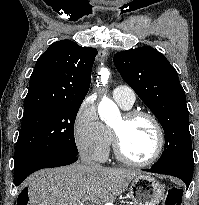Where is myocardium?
<instances>
[{"label":"myocardium","mask_w":199,"mask_h":205,"mask_svg":"<svg viewBox=\"0 0 199 205\" xmlns=\"http://www.w3.org/2000/svg\"><path fill=\"white\" fill-rule=\"evenodd\" d=\"M121 116L123 120L126 122L134 120L136 118L148 119L155 128L156 135H157V142H156L155 150L149 158L145 160H134L128 157L123 152L119 133L114 127H112L111 128L112 142H113V147H114V153L117 159L123 162L124 164L130 165V166H136V167L148 166L154 163L161 156L164 146H165V133H164V129L160 121L157 119L155 115H153L152 113L148 111H144V110H127Z\"/></svg>","instance_id":"obj_1"}]
</instances>
